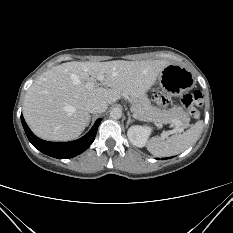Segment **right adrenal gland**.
I'll return each instance as SVG.
<instances>
[{
	"label": "right adrenal gland",
	"instance_id": "obj_1",
	"mask_svg": "<svg viewBox=\"0 0 233 233\" xmlns=\"http://www.w3.org/2000/svg\"><path fill=\"white\" fill-rule=\"evenodd\" d=\"M90 119H91V116L89 117V121H90ZM89 121H88V124H89ZM88 124H87V125H88Z\"/></svg>",
	"mask_w": 233,
	"mask_h": 233
}]
</instances>
